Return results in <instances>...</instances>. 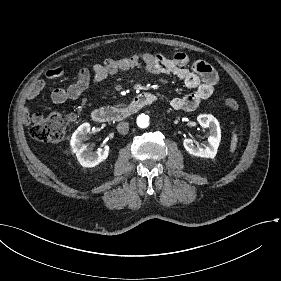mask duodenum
Listing matches in <instances>:
<instances>
[{
  "label": "duodenum",
  "mask_w": 281,
  "mask_h": 281,
  "mask_svg": "<svg viewBox=\"0 0 281 281\" xmlns=\"http://www.w3.org/2000/svg\"><path fill=\"white\" fill-rule=\"evenodd\" d=\"M151 99L150 93H143L136 96L133 101L123 108L101 107L93 111L92 119L95 122H120L131 116L137 110L148 104Z\"/></svg>",
  "instance_id": "410a0bca"
}]
</instances>
